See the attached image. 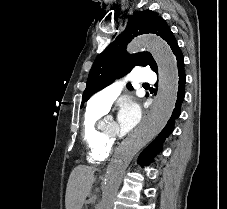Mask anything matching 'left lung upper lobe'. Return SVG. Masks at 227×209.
<instances>
[{
    "instance_id": "obj_1",
    "label": "left lung upper lobe",
    "mask_w": 227,
    "mask_h": 209,
    "mask_svg": "<svg viewBox=\"0 0 227 209\" xmlns=\"http://www.w3.org/2000/svg\"><path fill=\"white\" fill-rule=\"evenodd\" d=\"M148 33L164 39L175 54L178 48L176 39L166 21L157 12L145 10L128 16L124 31L96 58L88 76L83 102L115 79L130 72L135 66H150L154 72H158L157 64L149 52L136 54L126 52V45L134 37ZM127 88L133 89L130 84H127Z\"/></svg>"
}]
</instances>
